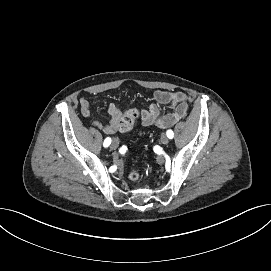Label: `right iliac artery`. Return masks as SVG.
I'll return each instance as SVG.
<instances>
[{"mask_svg":"<svg viewBox=\"0 0 271 271\" xmlns=\"http://www.w3.org/2000/svg\"><path fill=\"white\" fill-rule=\"evenodd\" d=\"M110 144H111V138L107 137V138L104 140L103 146H104V147H108Z\"/></svg>","mask_w":271,"mask_h":271,"instance_id":"1","label":"right iliac artery"}]
</instances>
